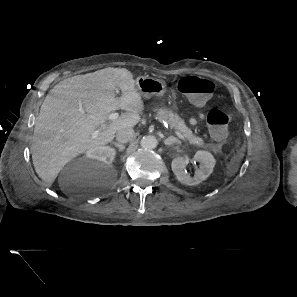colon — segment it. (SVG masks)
<instances>
[{
  "mask_svg": "<svg viewBox=\"0 0 297 297\" xmlns=\"http://www.w3.org/2000/svg\"><path fill=\"white\" fill-rule=\"evenodd\" d=\"M174 84L180 92L194 100L201 102L210 98L214 93V84L207 79L195 76H186L177 79ZM230 116L227 106L223 109H212L207 114V127L212 137L218 141H224L227 137Z\"/></svg>",
  "mask_w": 297,
  "mask_h": 297,
  "instance_id": "1",
  "label": "colon"
}]
</instances>
